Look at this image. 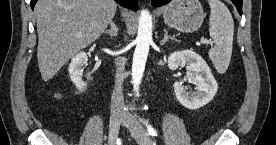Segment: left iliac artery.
Wrapping results in <instances>:
<instances>
[{
  "mask_svg": "<svg viewBox=\"0 0 276 145\" xmlns=\"http://www.w3.org/2000/svg\"><path fill=\"white\" fill-rule=\"evenodd\" d=\"M142 123L147 127L149 135L157 136V131L146 120H142Z\"/></svg>",
  "mask_w": 276,
  "mask_h": 145,
  "instance_id": "44dca946",
  "label": "left iliac artery"
}]
</instances>
